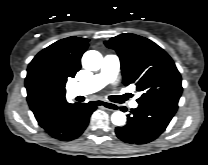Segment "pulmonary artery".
<instances>
[{"instance_id": "1", "label": "pulmonary artery", "mask_w": 208, "mask_h": 165, "mask_svg": "<svg viewBox=\"0 0 208 165\" xmlns=\"http://www.w3.org/2000/svg\"><path fill=\"white\" fill-rule=\"evenodd\" d=\"M120 66L119 57L115 54H108L104 57L101 71L98 74L91 76L89 79L76 83L70 87L72 96L87 95L94 93L106 84L111 82L117 75ZM132 108H136L138 103L132 101Z\"/></svg>"}]
</instances>
